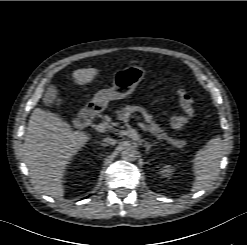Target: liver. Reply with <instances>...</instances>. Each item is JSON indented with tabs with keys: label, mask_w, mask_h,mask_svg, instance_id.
I'll use <instances>...</instances> for the list:
<instances>
[{
	"label": "liver",
	"mask_w": 247,
	"mask_h": 245,
	"mask_svg": "<svg viewBox=\"0 0 247 245\" xmlns=\"http://www.w3.org/2000/svg\"><path fill=\"white\" fill-rule=\"evenodd\" d=\"M97 74V69H78L73 71L72 79L75 84L84 86ZM89 140L88 134L73 131L57 115L35 108L28 122L23 145L24 160L33 185L46 195L61 200L67 165Z\"/></svg>",
	"instance_id": "6515ba94"
}]
</instances>
